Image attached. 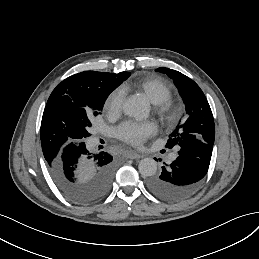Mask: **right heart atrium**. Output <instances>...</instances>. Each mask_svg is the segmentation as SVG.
Segmentation results:
<instances>
[{
	"label": "right heart atrium",
	"instance_id": "obj_1",
	"mask_svg": "<svg viewBox=\"0 0 259 259\" xmlns=\"http://www.w3.org/2000/svg\"><path fill=\"white\" fill-rule=\"evenodd\" d=\"M107 108L112 112H119L123 107V97L118 90L112 91L106 101Z\"/></svg>",
	"mask_w": 259,
	"mask_h": 259
}]
</instances>
